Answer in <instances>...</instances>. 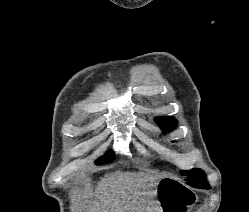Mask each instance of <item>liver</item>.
Masks as SVG:
<instances>
[{
    "instance_id": "1",
    "label": "liver",
    "mask_w": 249,
    "mask_h": 212,
    "mask_svg": "<svg viewBox=\"0 0 249 212\" xmlns=\"http://www.w3.org/2000/svg\"><path fill=\"white\" fill-rule=\"evenodd\" d=\"M141 176H144V180H147L145 174H133V172H115L110 176L102 178V182H99L98 190L101 192V200L104 202V206L115 210L113 204V196L118 192L119 188H127L128 184H136L138 180H141Z\"/></svg>"
}]
</instances>
